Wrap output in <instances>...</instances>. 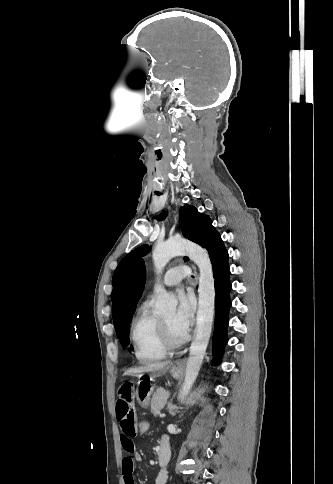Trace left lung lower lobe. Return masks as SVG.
Listing matches in <instances>:
<instances>
[{"instance_id": "0a47b994", "label": "left lung lower lobe", "mask_w": 333, "mask_h": 484, "mask_svg": "<svg viewBox=\"0 0 333 484\" xmlns=\"http://www.w3.org/2000/svg\"><path fill=\"white\" fill-rule=\"evenodd\" d=\"M208 250L213 275L215 277V329L213 333L212 364L220 362L224 346L227 343L228 313L231 306L230 291L232 289L229 276L228 253L219 233L208 223L205 228L201 245Z\"/></svg>"}]
</instances>
